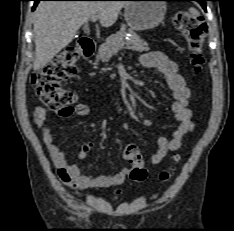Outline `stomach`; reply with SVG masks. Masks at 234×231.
Returning <instances> with one entry per match:
<instances>
[{
    "label": "stomach",
    "mask_w": 234,
    "mask_h": 231,
    "mask_svg": "<svg viewBox=\"0 0 234 231\" xmlns=\"http://www.w3.org/2000/svg\"><path fill=\"white\" fill-rule=\"evenodd\" d=\"M166 3L162 0H133L125 5L124 17L135 31L157 27L165 17Z\"/></svg>",
    "instance_id": "obj_1"
}]
</instances>
